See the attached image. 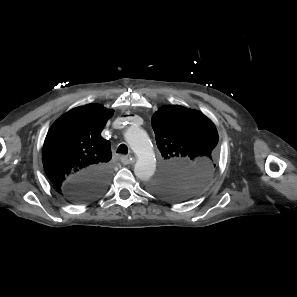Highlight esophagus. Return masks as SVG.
Segmentation results:
<instances>
[{
    "instance_id": "1",
    "label": "esophagus",
    "mask_w": 297,
    "mask_h": 297,
    "mask_svg": "<svg viewBox=\"0 0 297 297\" xmlns=\"http://www.w3.org/2000/svg\"><path fill=\"white\" fill-rule=\"evenodd\" d=\"M121 162L125 165L134 163V159L129 156H121Z\"/></svg>"
}]
</instances>
